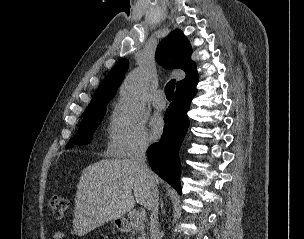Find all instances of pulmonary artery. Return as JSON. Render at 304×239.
Masks as SVG:
<instances>
[{"label": "pulmonary artery", "instance_id": "e3ab8cb5", "mask_svg": "<svg viewBox=\"0 0 304 239\" xmlns=\"http://www.w3.org/2000/svg\"><path fill=\"white\" fill-rule=\"evenodd\" d=\"M152 102L156 108L163 109L166 106V100L164 98L163 91H157L153 96Z\"/></svg>", "mask_w": 304, "mask_h": 239}]
</instances>
